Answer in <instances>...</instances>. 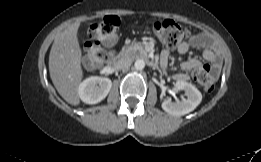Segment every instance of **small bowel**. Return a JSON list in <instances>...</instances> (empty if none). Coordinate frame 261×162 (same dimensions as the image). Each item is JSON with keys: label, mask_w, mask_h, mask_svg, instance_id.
Wrapping results in <instances>:
<instances>
[{"label": "small bowel", "mask_w": 261, "mask_h": 162, "mask_svg": "<svg viewBox=\"0 0 261 162\" xmlns=\"http://www.w3.org/2000/svg\"><path fill=\"white\" fill-rule=\"evenodd\" d=\"M207 37L203 33L195 34L191 37L190 42H182L179 44L177 51L179 54H186L190 48V45H196L203 47ZM164 55H167V51L164 52ZM202 57L212 64L211 70H208L214 77L218 75L221 67V59L216 50L213 49H203ZM182 68L186 71L192 70H204V65L197 59H190L182 63ZM176 78H180V75H177Z\"/></svg>", "instance_id": "small-bowel-1"}]
</instances>
